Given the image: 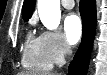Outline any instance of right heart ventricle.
<instances>
[{
  "label": "right heart ventricle",
  "instance_id": "1",
  "mask_svg": "<svg viewBox=\"0 0 107 75\" xmlns=\"http://www.w3.org/2000/svg\"><path fill=\"white\" fill-rule=\"evenodd\" d=\"M22 65L31 71L45 72L51 70L53 64L49 60L40 36L28 32L25 38Z\"/></svg>",
  "mask_w": 107,
  "mask_h": 75
}]
</instances>
